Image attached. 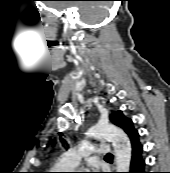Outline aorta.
I'll return each mask as SVG.
<instances>
[{
	"label": "aorta",
	"instance_id": "762f6f07",
	"mask_svg": "<svg viewBox=\"0 0 170 173\" xmlns=\"http://www.w3.org/2000/svg\"><path fill=\"white\" fill-rule=\"evenodd\" d=\"M89 135L112 142L116 156L117 172H128L131 162V144L127 135L109 123H98L89 130Z\"/></svg>",
	"mask_w": 170,
	"mask_h": 173
}]
</instances>
